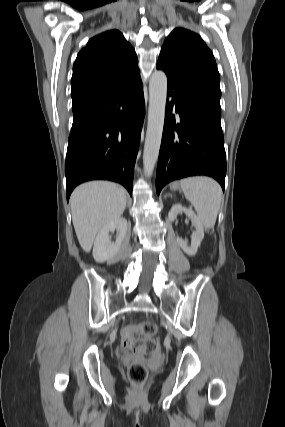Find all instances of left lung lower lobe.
<instances>
[{
    "label": "left lung lower lobe",
    "mask_w": 285,
    "mask_h": 427,
    "mask_svg": "<svg viewBox=\"0 0 285 427\" xmlns=\"http://www.w3.org/2000/svg\"><path fill=\"white\" fill-rule=\"evenodd\" d=\"M173 110L180 115L179 123L172 114ZM193 175L215 178L224 191L226 157L220 103L168 79L156 173L157 194L170 181Z\"/></svg>",
    "instance_id": "left-lung-lower-lobe-1"
}]
</instances>
